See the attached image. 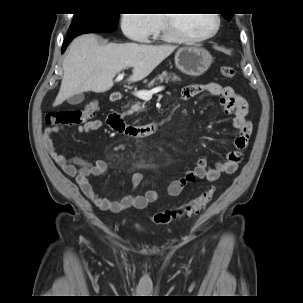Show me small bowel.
Listing matches in <instances>:
<instances>
[{
	"instance_id": "c3829d8e",
	"label": "small bowel",
	"mask_w": 303,
	"mask_h": 303,
	"mask_svg": "<svg viewBox=\"0 0 303 303\" xmlns=\"http://www.w3.org/2000/svg\"><path fill=\"white\" fill-rule=\"evenodd\" d=\"M201 93H209L218 97L223 111L226 114H235L233 126L239 130L238 135L233 141L236 150L228 152L226 160L217 162L214 167H209L206 159H198L192 169L186 171L182 177L169 183L167 192L168 195L172 197L179 196L187 185L197 179H207L210 182H214L217 181L222 174L235 173L243 159V151L247 148L252 133V124L245 117L246 102L232 87H224L218 83L190 84L183 87L181 96L183 100H188ZM109 125L114 129L113 123H109ZM104 127L105 123L103 121L93 119L79 125L77 131L87 133L103 129ZM62 129L63 127L44 129L43 137L45 147L53 161L68 176L76 178V182L82 192L98 208L111 212H121L131 208L145 209L149 204L158 200L159 195L154 190H148L144 195H127L117 201L99 196L89 180V176L105 173L108 167L107 162L104 160H87L81 157H72L70 159L64 157L58 152L52 141V136ZM142 180L143 176L140 173H134L131 177L132 188L136 189Z\"/></svg>"
}]
</instances>
